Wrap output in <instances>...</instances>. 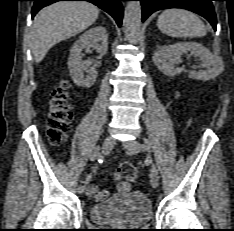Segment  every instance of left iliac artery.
<instances>
[{
    "mask_svg": "<svg viewBox=\"0 0 234 231\" xmlns=\"http://www.w3.org/2000/svg\"><path fill=\"white\" fill-rule=\"evenodd\" d=\"M141 147H142L143 149H145V150H148V151L150 150V145L147 144V143H146V144H142ZM129 153H130V152H129ZM130 154H132V153H130Z\"/></svg>",
    "mask_w": 234,
    "mask_h": 231,
    "instance_id": "left-iliac-artery-1",
    "label": "left iliac artery"
}]
</instances>
